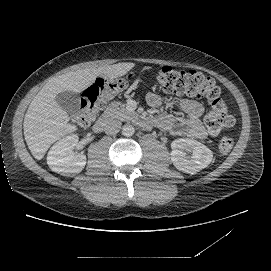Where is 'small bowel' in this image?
I'll return each instance as SVG.
<instances>
[{"mask_svg":"<svg viewBox=\"0 0 271 271\" xmlns=\"http://www.w3.org/2000/svg\"><path fill=\"white\" fill-rule=\"evenodd\" d=\"M146 100L153 108H158L163 103L162 97L156 93H149ZM175 105L185 114V117L164 113L157 119V124L173 136L185 135L196 139L205 138L207 131L202 121L203 105L198 101L186 98L176 100Z\"/></svg>","mask_w":271,"mask_h":271,"instance_id":"obj_1","label":"small bowel"}]
</instances>
